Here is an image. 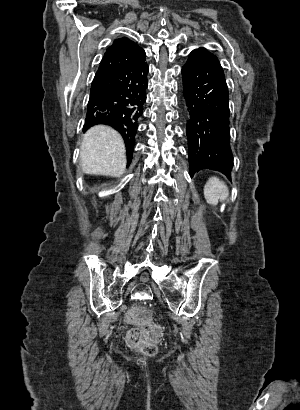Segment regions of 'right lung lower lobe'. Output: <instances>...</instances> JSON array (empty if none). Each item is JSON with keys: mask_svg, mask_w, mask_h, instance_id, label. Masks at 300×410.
Instances as JSON below:
<instances>
[{"mask_svg": "<svg viewBox=\"0 0 300 410\" xmlns=\"http://www.w3.org/2000/svg\"><path fill=\"white\" fill-rule=\"evenodd\" d=\"M148 70L145 60L125 64L97 73L91 85L83 131L97 124L113 127L125 141L128 162L146 101Z\"/></svg>", "mask_w": 300, "mask_h": 410, "instance_id": "obj_1", "label": "right lung lower lobe"}]
</instances>
